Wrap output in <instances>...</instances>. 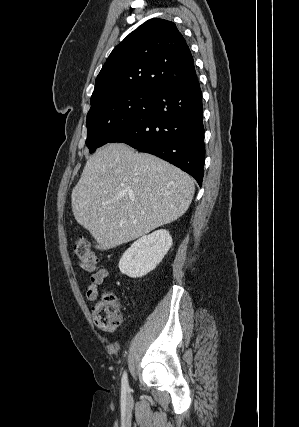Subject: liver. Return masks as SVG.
Returning a JSON list of instances; mask_svg holds the SVG:
<instances>
[{"instance_id":"obj_1","label":"liver","mask_w":299,"mask_h":427,"mask_svg":"<svg viewBox=\"0 0 299 427\" xmlns=\"http://www.w3.org/2000/svg\"><path fill=\"white\" fill-rule=\"evenodd\" d=\"M193 179L172 164L123 143L87 160L71 194L76 221L108 250L171 223L189 208Z\"/></svg>"}]
</instances>
